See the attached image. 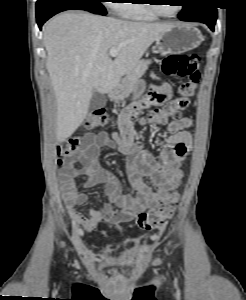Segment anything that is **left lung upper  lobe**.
Segmentation results:
<instances>
[{"label": "left lung upper lobe", "instance_id": "left-lung-upper-lobe-1", "mask_svg": "<svg viewBox=\"0 0 246 300\" xmlns=\"http://www.w3.org/2000/svg\"><path fill=\"white\" fill-rule=\"evenodd\" d=\"M187 3V5L183 6V9L179 15L186 14L205 3H212V0H187Z\"/></svg>", "mask_w": 246, "mask_h": 300}]
</instances>
